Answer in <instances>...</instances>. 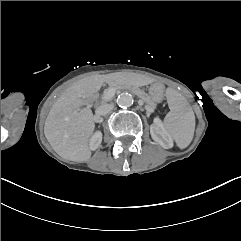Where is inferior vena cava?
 I'll return each mask as SVG.
<instances>
[{
    "label": "inferior vena cava",
    "instance_id": "602c4592",
    "mask_svg": "<svg viewBox=\"0 0 241 241\" xmlns=\"http://www.w3.org/2000/svg\"><path fill=\"white\" fill-rule=\"evenodd\" d=\"M114 108V105L112 104H103L101 106H99L96 110V115L97 116H104L106 114H108L109 112H111ZM96 121H98L99 119H95Z\"/></svg>",
    "mask_w": 241,
    "mask_h": 241
}]
</instances>
